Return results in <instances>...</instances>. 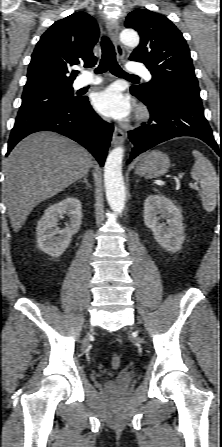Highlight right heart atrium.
<instances>
[{"label":"right heart atrium","instance_id":"d8ad5b80","mask_svg":"<svg viewBox=\"0 0 222 447\" xmlns=\"http://www.w3.org/2000/svg\"><path fill=\"white\" fill-rule=\"evenodd\" d=\"M99 120L102 121L103 119H102V118H99Z\"/></svg>","mask_w":222,"mask_h":447}]
</instances>
